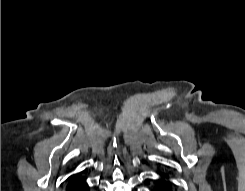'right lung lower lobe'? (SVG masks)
Returning <instances> with one entry per match:
<instances>
[{
	"instance_id": "1",
	"label": "right lung lower lobe",
	"mask_w": 245,
	"mask_h": 191,
	"mask_svg": "<svg viewBox=\"0 0 245 191\" xmlns=\"http://www.w3.org/2000/svg\"><path fill=\"white\" fill-rule=\"evenodd\" d=\"M66 191H89V187L82 177L72 175L69 177Z\"/></svg>"
}]
</instances>
